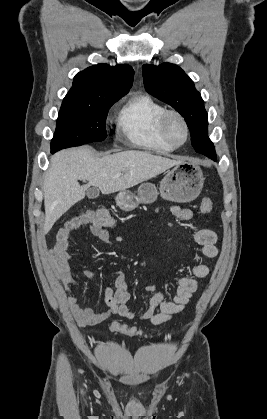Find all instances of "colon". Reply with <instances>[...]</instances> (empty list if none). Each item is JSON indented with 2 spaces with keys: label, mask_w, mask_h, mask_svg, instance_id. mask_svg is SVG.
<instances>
[{
  "label": "colon",
  "mask_w": 267,
  "mask_h": 419,
  "mask_svg": "<svg viewBox=\"0 0 267 419\" xmlns=\"http://www.w3.org/2000/svg\"><path fill=\"white\" fill-rule=\"evenodd\" d=\"M212 207H213L212 200L210 198H204L200 206V211L202 213H208L212 210ZM88 212L94 214L96 218L98 219V221L100 222V224L106 229H112L116 226L115 219L111 216V214L106 209L98 208L95 210H89L85 213H88ZM110 329L112 331L127 334L130 336H138L142 334L138 329L134 327H129L125 324H121L118 322L111 323Z\"/></svg>",
  "instance_id": "1"
}]
</instances>
